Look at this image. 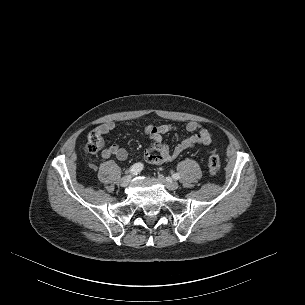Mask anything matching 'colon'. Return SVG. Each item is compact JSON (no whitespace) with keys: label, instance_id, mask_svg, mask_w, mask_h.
I'll return each mask as SVG.
<instances>
[{"label":"colon","instance_id":"5ec220e1","mask_svg":"<svg viewBox=\"0 0 305 305\" xmlns=\"http://www.w3.org/2000/svg\"><path fill=\"white\" fill-rule=\"evenodd\" d=\"M104 147V141L98 131H92L88 135L85 149L89 153H97ZM208 169L210 174L215 175L220 170V158L217 152H211L208 160Z\"/></svg>","mask_w":305,"mask_h":305}]
</instances>
